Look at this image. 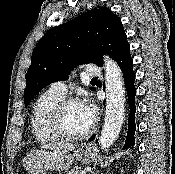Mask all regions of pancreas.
Instances as JSON below:
<instances>
[{
  "label": "pancreas",
  "mask_w": 175,
  "mask_h": 174,
  "mask_svg": "<svg viewBox=\"0 0 175 174\" xmlns=\"http://www.w3.org/2000/svg\"><path fill=\"white\" fill-rule=\"evenodd\" d=\"M68 174H81V168L80 167H74L71 169Z\"/></svg>",
  "instance_id": "obj_1"
}]
</instances>
